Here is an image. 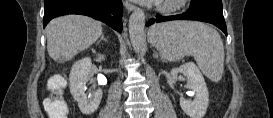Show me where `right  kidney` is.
Masks as SVG:
<instances>
[{
    "label": "right kidney",
    "instance_id": "1",
    "mask_svg": "<svg viewBox=\"0 0 273 118\" xmlns=\"http://www.w3.org/2000/svg\"><path fill=\"white\" fill-rule=\"evenodd\" d=\"M104 58V55H98L99 60H104ZM91 67V59L89 57L83 58L73 64L69 75L70 92L84 114H92L97 110L103 94L101 89L96 90L89 98L85 93L86 83L90 79Z\"/></svg>",
    "mask_w": 273,
    "mask_h": 118
}]
</instances>
